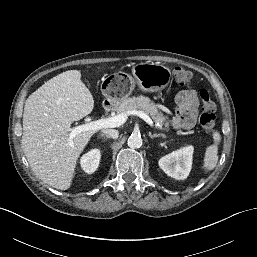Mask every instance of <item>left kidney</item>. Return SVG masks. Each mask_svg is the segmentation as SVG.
<instances>
[{"label": "left kidney", "instance_id": "5707ae66", "mask_svg": "<svg viewBox=\"0 0 257 257\" xmlns=\"http://www.w3.org/2000/svg\"><path fill=\"white\" fill-rule=\"evenodd\" d=\"M193 147L187 146L162 157L159 167L170 177L184 180L188 177L192 167Z\"/></svg>", "mask_w": 257, "mask_h": 257}]
</instances>
